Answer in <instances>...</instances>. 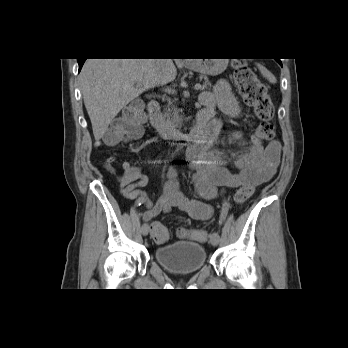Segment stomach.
<instances>
[{"label":"stomach","mask_w":348,"mask_h":348,"mask_svg":"<svg viewBox=\"0 0 348 348\" xmlns=\"http://www.w3.org/2000/svg\"><path fill=\"white\" fill-rule=\"evenodd\" d=\"M227 65V59H194L188 68L204 76H216L222 73Z\"/></svg>","instance_id":"1"}]
</instances>
